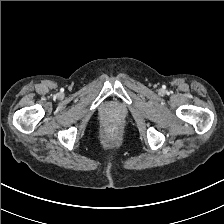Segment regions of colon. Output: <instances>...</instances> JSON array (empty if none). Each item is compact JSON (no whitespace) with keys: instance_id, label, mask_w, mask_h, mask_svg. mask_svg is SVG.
<instances>
[{"instance_id":"5ec220e1","label":"colon","mask_w":224,"mask_h":224,"mask_svg":"<svg viewBox=\"0 0 224 224\" xmlns=\"http://www.w3.org/2000/svg\"><path fill=\"white\" fill-rule=\"evenodd\" d=\"M118 130H119V128L116 124H113L111 126V129H110L111 133H116V132H118Z\"/></svg>"}]
</instances>
